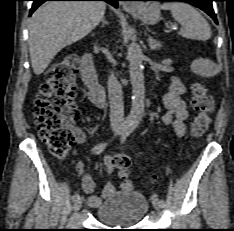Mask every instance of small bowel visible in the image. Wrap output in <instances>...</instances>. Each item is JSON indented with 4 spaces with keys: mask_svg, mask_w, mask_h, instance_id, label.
Listing matches in <instances>:
<instances>
[{
    "mask_svg": "<svg viewBox=\"0 0 234 231\" xmlns=\"http://www.w3.org/2000/svg\"><path fill=\"white\" fill-rule=\"evenodd\" d=\"M184 92L185 87L183 83L177 77H172L169 91L163 96V103L167 109V112L162 116V122L164 125L172 126L174 133L178 138H181L185 135L186 120L188 118L187 106L182 99ZM73 132L78 143L84 141L85 135L80 129L75 128ZM104 161L108 173H112L115 169L114 157L107 155L105 156ZM78 171L81 176L82 188L87 194V204L92 208L98 207L103 199L109 198L117 190L114 184L107 183L103 188L102 195H95V182L91 176L85 172L82 163L78 164ZM131 189V181L128 180V178H124L121 184V190L129 191Z\"/></svg>",
    "mask_w": 234,
    "mask_h": 231,
    "instance_id": "c3829d8e",
    "label": "small bowel"
}]
</instances>
